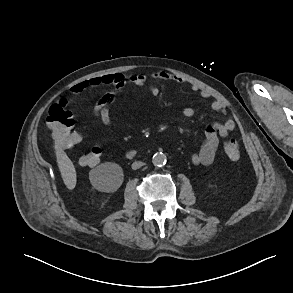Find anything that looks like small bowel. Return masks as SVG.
Segmentation results:
<instances>
[{
	"mask_svg": "<svg viewBox=\"0 0 293 293\" xmlns=\"http://www.w3.org/2000/svg\"><path fill=\"white\" fill-rule=\"evenodd\" d=\"M149 77L159 79L163 81H173L178 84H183L184 79L180 76L174 75L169 72L159 71L151 74L150 76L145 74H136L129 77L128 81L135 86H145ZM126 85V79L122 74L111 73L101 76H93L88 79L82 80L79 83L73 85L69 91L71 94H79L88 88H95L100 86H112L114 89L106 92L102 95L93 105L92 113L94 117L104 126H108L112 122L111 107L118 98L120 92ZM150 92L153 95L159 94V88L157 86H150ZM191 90L195 93H199L204 99H210L212 94L205 89H202L197 84L191 85ZM209 108L216 112H225L224 104L215 100L209 104ZM196 109L194 107H186L183 110V116L185 118H191L195 115ZM235 121L229 117L223 123H215L210 125L204 133V141L198 152L194 153L191 157V161L194 165H211L215 159L216 151L219 145V137H225L231 134L235 129Z\"/></svg>",
	"mask_w": 293,
	"mask_h": 293,
	"instance_id": "1",
	"label": "small bowel"
}]
</instances>
